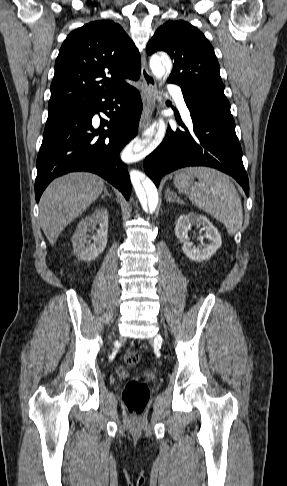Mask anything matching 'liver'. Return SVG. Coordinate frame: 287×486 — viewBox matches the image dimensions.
I'll use <instances>...</instances> for the list:
<instances>
[{
    "mask_svg": "<svg viewBox=\"0 0 287 486\" xmlns=\"http://www.w3.org/2000/svg\"><path fill=\"white\" fill-rule=\"evenodd\" d=\"M104 180L85 172H74L55 179L40 202L42 230L53 246L63 229L79 217L102 193Z\"/></svg>",
    "mask_w": 287,
    "mask_h": 486,
    "instance_id": "6515ba94",
    "label": "liver"
}]
</instances>
